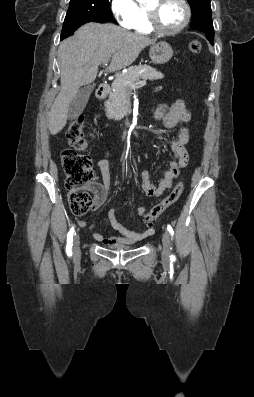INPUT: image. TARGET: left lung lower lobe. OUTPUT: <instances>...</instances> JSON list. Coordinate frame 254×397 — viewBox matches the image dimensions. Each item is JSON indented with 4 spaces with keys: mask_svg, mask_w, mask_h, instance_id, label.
<instances>
[{
    "mask_svg": "<svg viewBox=\"0 0 254 397\" xmlns=\"http://www.w3.org/2000/svg\"><path fill=\"white\" fill-rule=\"evenodd\" d=\"M206 37L211 42V44H214V36L206 35Z\"/></svg>",
    "mask_w": 254,
    "mask_h": 397,
    "instance_id": "0a47b994",
    "label": "left lung lower lobe"
}]
</instances>
